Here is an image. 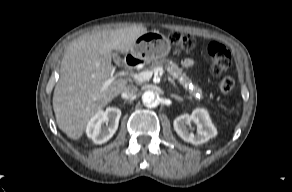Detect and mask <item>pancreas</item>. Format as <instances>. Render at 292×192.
I'll list each match as a JSON object with an SVG mask.
<instances>
[{
	"instance_id": "cf45deb5",
	"label": "pancreas",
	"mask_w": 292,
	"mask_h": 192,
	"mask_svg": "<svg viewBox=\"0 0 292 192\" xmlns=\"http://www.w3.org/2000/svg\"><path fill=\"white\" fill-rule=\"evenodd\" d=\"M157 67L165 68L174 79H176L186 90L189 91V94L192 97H197V95H201L202 92L199 87H189V85L191 84V80L182 71V69L178 67L176 63L168 59L156 60L152 62L150 69L153 70Z\"/></svg>"
}]
</instances>
